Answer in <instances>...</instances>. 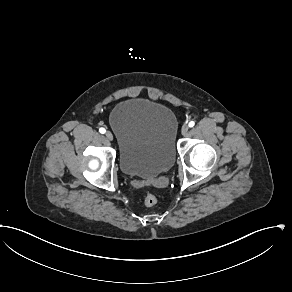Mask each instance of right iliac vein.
<instances>
[{"instance_id": "63e3f726", "label": "right iliac vein", "mask_w": 292, "mask_h": 292, "mask_svg": "<svg viewBox=\"0 0 292 292\" xmlns=\"http://www.w3.org/2000/svg\"><path fill=\"white\" fill-rule=\"evenodd\" d=\"M105 136H106V138L108 139V140H113V135H112V133L110 132V131H107L106 133H105Z\"/></svg>"}]
</instances>
